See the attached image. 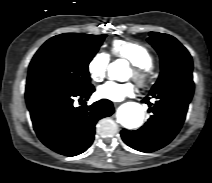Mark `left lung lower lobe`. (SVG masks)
<instances>
[{"label":"left lung lower lobe","instance_id":"0a47b994","mask_svg":"<svg viewBox=\"0 0 212 183\" xmlns=\"http://www.w3.org/2000/svg\"><path fill=\"white\" fill-rule=\"evenodd\" d=\"M193 93L192 74L176 77L151 89L149 95L157 99L149 108L152 115L138 130H122L123 141L142 152H153L169 144L184 123ZM149 99L146 97L143 102L151 106Z\"/></svg>","mask_w":212,"mask_h":183}]
</instances>
